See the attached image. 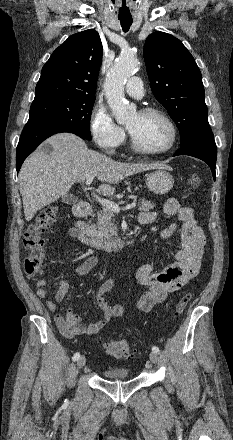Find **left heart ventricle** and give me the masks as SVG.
I'll use <instances>...</instances> for the list:
<instances>
[{
  "label": "left heart ventricle",
  "mask_w": 233,
  "mask_h": 440,
  "mask_svg": "<svg viewBox=\"0 0 233 440\" xmlns=\"http://www.w3.org/2000/svg\"><path fill=\"white\" fill-rule=\"evenodd\" d=\"M141 146L149 150L166 147L171 138L168 124L158 115H143L137 112L126 124Z\"/></svg>",
  "instance_id": "1"
}]
</instances>
